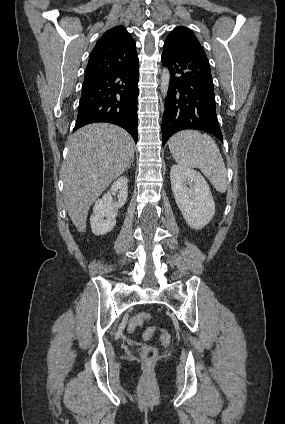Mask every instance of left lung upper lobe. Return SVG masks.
<instances>
[{
    "label": "left lung upper lobe",
    "mask_w": 285,
    "mask_h": 424,
    "mask_svg": "<svg viewBox=\"0 0 285 424\" xmlns=\"http://www.w3.org/2000/svg\"><path fill=\"white\" fill-rule=\"evenodd\" d=\"M166 40L177 41L184 45L201 46L193 32L186 27H176Z\"/></svg>",
    "instance_id": "5c2ea615"
}]
</instances>
